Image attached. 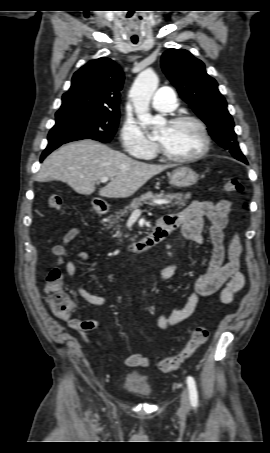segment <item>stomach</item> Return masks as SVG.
<instances>
[{"label":"stomach","instance_id":"stomach-1","mask_svg":"<svg viewBox=\"0 0 270 453\" xmlns=\"http://www.w3.org/2000/svg\"><path fill=\"white\" fill-rule=\"evenodd\" d=\"M199 175L189 167L180 166L173 170L169 184L177 188H187L198 181Z\"/></svg>","mask_w":270,"mask_h":453}]
</instances>
